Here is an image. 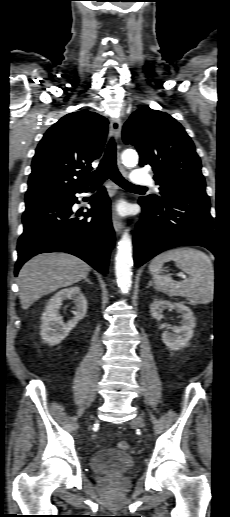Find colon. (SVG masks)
I'll use <instances>...</instances> for the list:
<instances>
[{
	"mask_svg": "<svg viewBox=\"0 0 230 517\" xmlns=\"http://www.w3.org/2000/svg\"><path fill=\"white\" fill-rule=\"evenodd\" d=\"M130 447L129 443L127 441H120L118 443V448L122 451H126L128 450Z\"/></svg>",
	"mask_w": 230,
	"mask_h": 517,
	"instance_id": "1",
	"label": "colon"
}]
</instances>
